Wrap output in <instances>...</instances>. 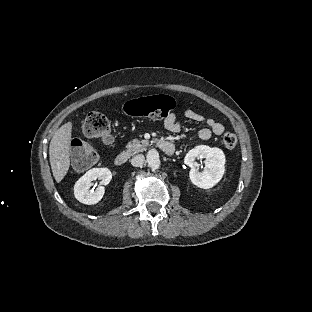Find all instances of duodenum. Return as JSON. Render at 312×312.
<instances>
[{"mask_svg":"<svg viewBox=\"0 0 312 312\" xmlns=\"http://www.w3.org/2000/svg\"><path fill=\"white\" fill-rule=\"evenodd\" d=\"M156 144L165 154L167 155L176 154V146L172 142L160 139L157 140ZM129 157L130 152L123 151L115 157V164L117 166H123L127 162Z\"/></svg>","mask_w":312,"mask_h":312,"instance_id":"duodenum-1","label":"duodenum"}]
</instances>
